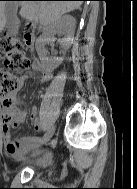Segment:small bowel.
Listing matches in <instances>:
<instances>
[{
	"label": "small bowel",
	"mask_w": 137,
	"mask_h": 189,
	"mask_svg": "<svg viewBox=\"0 0 137 189\" xmlns=\"http://www.w3.org/2000/svg\"><path fill=\"white\" fill-rule=\"evenodd\" d=\"M33 71L38 74L41 82L48 81L51 78V73L45 70L40 64L36 63ZM28 78L25 76L23 79ZM12 100H16L17 91L12 95ZM27 117V110L24 103L17 100L15 103L4 104L0 103V119L1 129L5 139V151L13 159H22L28 153L33 145L34 136H24L17 140L11 139V128L23 124ZM32 128L34 132H39L41 124L38 121V112L35 107L32 108L30 113Z\"/></svg>",
	"instance_id": "c3829d8e"
}]
</instances>
